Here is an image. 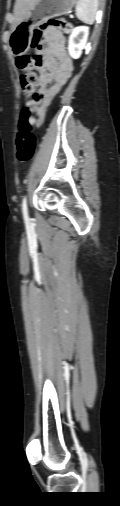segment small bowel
Instances as JSON below:
<instances>
[{"label":"small bowel","mask_w":120,"mask_h":506,"mask_svg":"<svg viewBox=\"0 0 120 506\" xmlns=\"http://www.w3.org/2000/svg\"><path fill=\"white\" fill-rule=\"evenodd\" d=\"M39 72V93L42 103L37 108L38 124L43 122L47 107L62 90L71 76L73 65L65 50V38L56 30H49L35 56Z\"/></svg>","instance_id":"c3829d8e"}]
</instances>
